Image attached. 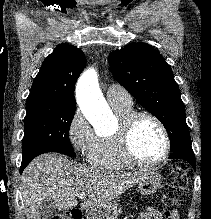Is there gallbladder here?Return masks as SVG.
<instances>
[{"label":"gallbladder","instance_id":"gallbladder-1","mask_svg":"<svg viewBox=\"0 0 211 219\" xmlns=\"http://www.w3.org/2000/svg\"><path fill=\"white\" fill-rule=\"evenodd\" d=\"M56 210L57 207L53 200H44L39 207L40 219H51Z\"/></svg>","mask_w":211,"mask_h":219}]
</instances>
